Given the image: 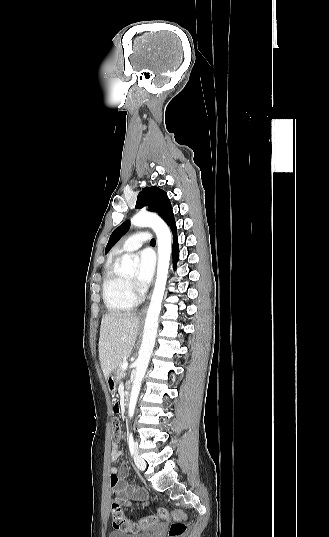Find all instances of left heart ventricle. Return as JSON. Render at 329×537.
I'll list each match as a JSON object with an SVG mask.
<instances>
[{
	"mask_svg": "<svg viewBox=\"0 0 329 537\" xmlns=\"http://www.w3.org/2000/svg\"><path fill=\"white\" fill-rule=\"evenodd\" d=\"M134 275H135L134 272H132V273H129V274L127 275V277L131 279V278L134 277Z\"/></svg>",
	"mask_w": 329,
	"mask_h": 537,
	"instance_id": "obj_1",
	"label": "left heart ventricle"
}]
</instances>
